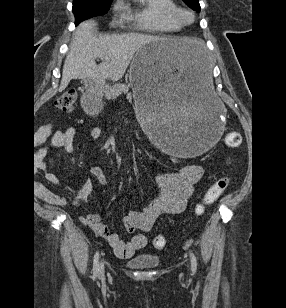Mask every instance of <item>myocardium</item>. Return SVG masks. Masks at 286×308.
Segmentation results:
<instances>
[{
  "mask_svg": "<svg viewBox=\"0 0 286 308\" xmlns=\"http://www.w3.org/2000/svg\"><path fill=\"white\" fill-rule=\"evenodd\" d=\"M174 14L177 20L183 25H190L195 21V14L189 9L178 6Z\"/></svg>",
  "mask_w": 286,
  "mask_h": 308,
  "instance_id": "obj_1",
  "label": "myocardium"
}]
</instances>
